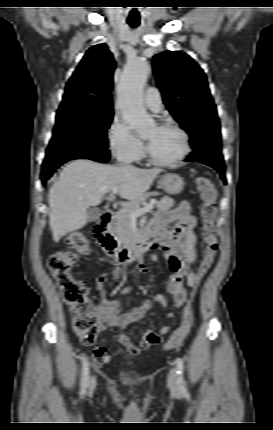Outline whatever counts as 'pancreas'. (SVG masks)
Masks as SVG:
<instances>
[{"label": "pancreas", "mask_w": 273, "mask_h": 430, "mask_svg": "<svg viewBox=\"0 0 273 430\" xmlns=\"http://www.w3.org/2000/svg\"><path fill=\"white\" fill-rule=\"evenodd\" d=\"M156 191L144 193L139 199L125 203L123 208L119 210L115 217L114 223L111 227L118 244L128 243L134 236L132 230V220L130 212L140 208V205L146 201L150 196L158 195ZM157 208L160 210H168L174 206V200L168 196H164L160 201L156 202Z\"/></svg>", "instance_id": "cf45deb5"}]
</instances>
